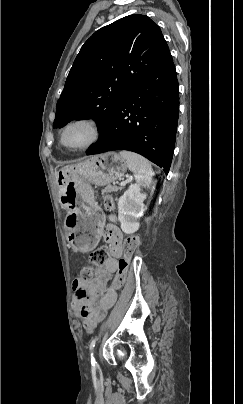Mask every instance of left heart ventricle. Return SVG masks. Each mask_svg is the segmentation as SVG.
<instances>
[{
  "mask_svg": "<svg viewBox=\"0 0 243 404\" xmlns=\"http://www.w3.org/2000/svg\"><path fill=\"white\" fill-rule=\"evenodd\" d=\"M92 137L91 127L86 123L72 125L65 133V143L71 147L86 144Z\"/></svg>",
  "mask_w": 243,
  "mask_h": 404,
  "instance_id": "1",
  "label": "left heart ventricle"
}]
</instances>
